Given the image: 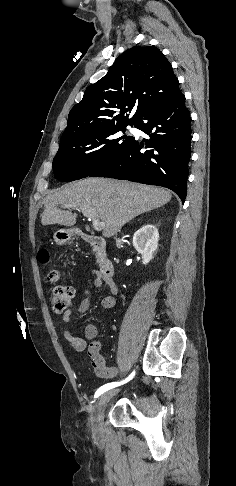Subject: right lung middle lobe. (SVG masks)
Segmentation results:
<instances>
[{
    "label": "right lung middle lobe",
    "mask_w": 236,
    "mask_h": 486,
    "mask_svg": "<svg viewBox=\"0 0 236 486\" xmlns=\"http://www.w3.org/2000/svg\"><path fill=\"white\" fill-rule=\"evenodd\" d=\"M127 125L134 124L112 126L59 144L53 159L55 177L70 182L89 176L134 140L126 135L115 138L119 131L125 132Z\"/></svg>",
    "instance_id": "right-lung-middle-lobe-1"
}]
</instances>
